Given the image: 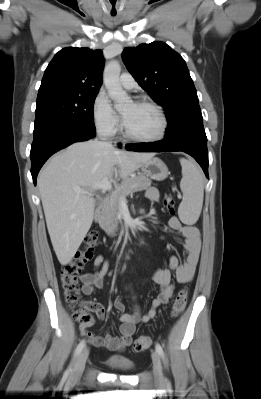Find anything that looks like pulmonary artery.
I'll use <instances>...</instances> for the list:
<instances>
[{"mask_svg":"<svg viewBox=\"0 0 261 399\" xmlns=\"http://www.w3.org/2000/svg\"><path fill=\"white\" fill-rule=\"evenodd\" d=\"M120 83L123 88L131 90L136 87V81L131 74L123 73L120 76Z\"/></svg>","mask_w":261,"mask_h":399,"instance_id":"e3ab8cb5","label":"pulmonary artery"}]
</instances>
